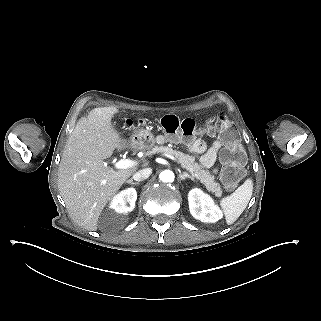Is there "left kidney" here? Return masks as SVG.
<instances>
[{"instance_id": "obj_1", "label": "left kidney", "mask_w": 321, "mask_h": 321, "mask_svg": "<svg viewBox=\"0 0 321 321\" xmlns=\"http://www.w3.org/2000/svg\"><path fill=\"white\" fill-rule=\"evenodd\" d=\"M189 210L191 215L202 222L215 223L223 217L220 208L214 200L199 188L188 193Z\"/></svg>"}]
</instances>
